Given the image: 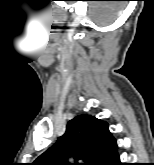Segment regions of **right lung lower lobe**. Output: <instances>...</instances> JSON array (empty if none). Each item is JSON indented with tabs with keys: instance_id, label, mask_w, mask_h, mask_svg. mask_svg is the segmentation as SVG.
<instances>
[{
	"instance_id": "1",
	"label": "right lung lower lobe",
	"mask_w": 154,
	"mask_h": 165,
	"mask_svg": "<svg viewBox=\"0 0 154 165\" xmlns=\"http://www.w3.org/2000/svg\"><path fill=\"white\" fill-rule=\"evenodd\" d=\"M93 165H123L117 154V144L113 137H111L103 146L100 155L97 157Z\"/></svg>"
}]
</instances>
